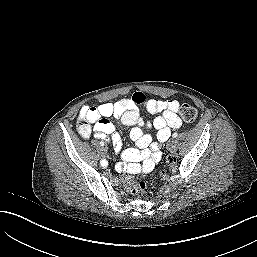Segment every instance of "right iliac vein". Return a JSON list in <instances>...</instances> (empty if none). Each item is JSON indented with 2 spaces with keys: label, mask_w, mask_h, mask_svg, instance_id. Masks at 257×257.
Masks as SVG:
<instances>
[{
  "label": "right iliac vein",
  "mask_w": 257,
  "mask_h": 257,
  "mask_svg": "<svg viewBox=\"0 0 257 257\" xmlns=\"http://www.w3.org/2000/svg\"><path fill=\"white\" fill-rule=\"evenodd\" d=\"M101 152H102V155H103V156H106V155H107V150H106V148H102Z\"/></svg>",
  "instance_id": "63e3f726"
}]
</instances>
